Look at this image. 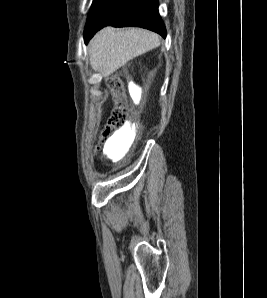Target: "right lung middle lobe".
Returning <instances> with one entry per match:
<instances>
[{
    "label": "right lung middle lobe",
    "mask_w": 267,
    "mask_h": 298,
    "mask_svg": "<svg viewBox=\"0 0 267 298\" xmlns=\"http://www.w3.org/2000/svg\"><path fill=\"white\" fill-rule=\"evenodd\" d=\"M107 1L108 0H94L93 1L92 7L90 10L88 19H87V23L91 22L98 15V13L100 12V10L102 9V7L105 5V3Z\"/></svg>",
    "instance_id": "obj_1"
}]
</instances>
